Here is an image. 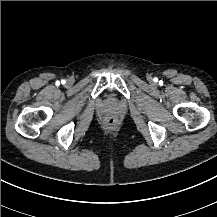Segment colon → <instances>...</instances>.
I'll return each mask as SVG.
<instances>
[{
    "label": "colon",
    "instance_id": "5ec220e1",
    "mask_svg": "<svg viewBox=\"0 0 217 217\" xmlns=\"http://www.w3.org/2000/svg\"><path fill=\"white\" fill-rule=\"evenodd\" d=\"M107 124H108V126L113 127V126H115L116 121H115V119L110 118V119H108Z\"/></svg>",
    "mask_w": 217,
    "mask_h": 217
}]
</instances>
